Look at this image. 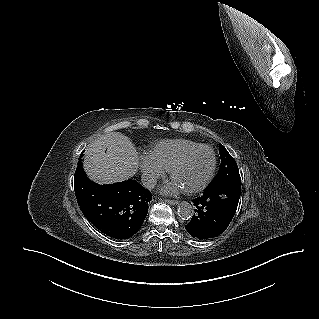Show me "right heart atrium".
Instances as JSON below:
<instances>
[{"label":"right heart atrium","mask_w":319,"mask_h":319,"mask_svg":"<svg viewBox=\"0 0 319 319\" xmlns=\"http://www.w3.org/2000/svg\"><path fill=\"white\" fill-rule=\"evenodd\" d=\"M140 168L144 183L148 187H152L158 179L165 175V170L149 154L140 156Z\"/></svg>","instance_id":"d8ad5b80"}]
</instances>
